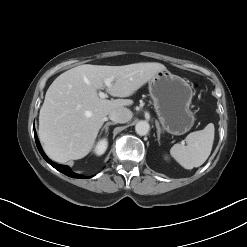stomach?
I'll list each match as a JSON object with an SVG mask.
<instances>
[{"label": "stomach", "instance_id": "obj_1", "mask_svg": "<svg viewBox=\"0 0 247 247\" xmlns=\"http://www.w3.org/2000/svg\"><path fill=\"white\" fill-rule=\"evenodd\" d=\"M149 92L158 119L165 131L183 135L194 125L190 109L193 92L185 79L170 71H159L149 82Z\"/></svg>", "mask_w": 247, "mask_h": 247}]
</instances>
